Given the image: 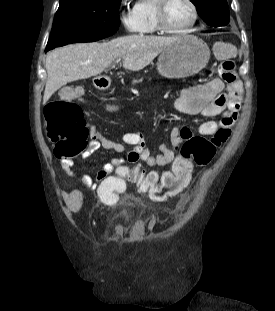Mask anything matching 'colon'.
I'll return each instance as SVG.
<instances>
[{
	"instance_id": "colon-1",
	"label": "colon",
	"mask_w": 275,
	"mask_h": 311,
	"mask_svg": "<svg viewBox=\"0 0 275 311\" xmlns=\"http://www.w3.org/2000/svg\"><path fill=\"white\" fill-rule=\"evenodd\" d=\"M227 51L223 42L215 45L214 53L222 58ZM235 66L230 59H222L218 72L225 82L235 80ZM80 95L78 89L64 92L61 99L50 102L45 108V128L48 139L53 143L54 155L58 159L72 160L88 147L89 128L82 109L72 101ZM136 102L135 98L131 99ZM113 111L112 107L108 108ZM123 111L122 107L118 108ZM218 126L210 137L190 136L182 145L171 170L162 173L160 179L155 172L145 173L139 168L125 171L122 175H106L103 183H97L96 195L100 202H115L125 190L123 176L130 174L138 190L153 201H165L181 193L189 184L196 167H206L215 158L218 148L224 145L231 135L229 122ZM132 161V160H130Z\"/></svg>"
}]
</instances>
